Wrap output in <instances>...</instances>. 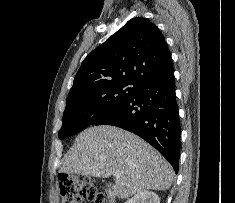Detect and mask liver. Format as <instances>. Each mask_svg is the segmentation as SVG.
Listing matches in <instances>:
<instances>
[{"mask_svg":"<svg viewBox=\"0 0 235 203\" xmlns=\"http://www.w3.org/2000/svg\"><path fill=\"white\" fill-rule=\"evenodd\" d=\"M61 172L107 178L120 172L113 187L120 199L141 191H165L174 171L168 161L137 135L118 127H90L75 139Z\"/></svg>","mask_w":235,"mask_h":203,"instance_id":"1","label":"liver"}]
</instances>
